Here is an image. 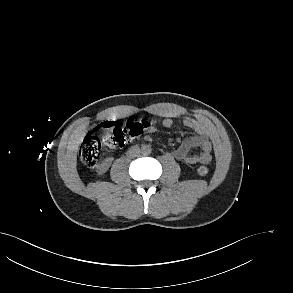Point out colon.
Segmentation results:
<instances>
[{
	"label": "colon",
	"mask_w": 293,
	"mask_h": 293,
	"mask_svg": "<svg viewBox=\"0 0 293 293\" xmlns=\"http://www.w3.org/2000/svg\"><path fill=\"white\" fill-rule=\"evenodd\" d=\"M151 125V121L146 119L128 120L122 127L118 128L112 122H105L102 127L108 130L109 133L102 140L96 136H87L85 138L79 151L81 162L87 168L94 169L99 162L103 145L122 147L139 138ZM208 171L209 169L206 166H201L197 169V173L200 176L206 175Z\"/></svg>",
	"instance_id": "colon-1"
}]
</instances>
